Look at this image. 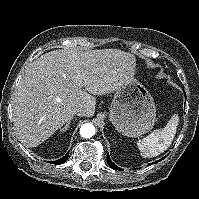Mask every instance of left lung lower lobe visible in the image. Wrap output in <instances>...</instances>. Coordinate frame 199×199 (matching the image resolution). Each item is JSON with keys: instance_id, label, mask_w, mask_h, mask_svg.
<instances>
[{"instance_id": "obj_1", "label": "left lung lower lobe", "mask_w": 199, "mask_h": 199, "mask_svg": "<svg viewBox=\"0 0 199 199\" xmlns=\"http://www.w3.org/2000/svg\"><path fill=\"white\" fill-rule=\"evenodd\" d=\"M164 158H165V157H164ZM164 158L158 160L157 162L163 160ZM107 162H108V164H109V166H110L111 168H113V169H115V170H120V168L117 167V166L111 161V159H110V157H109L108 155H107ZM155 163H156V162H155Z\"/></svg>"}]
</instances>
